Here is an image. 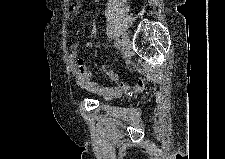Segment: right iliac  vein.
I'll return each mask as SVG.
<instances>
[{"label": "right iliac vein", "mask_w": 225, "mask_h": 159, "mask_svg": "<svg viewBox=\"0 0 225 159\" xmlns=\"http://www.w3.org/2000/svg\"><path fill=\"white\" fill-rule=\"evenodd\" d=\"M121 46L123 49H127L129 46V37H128L127 33L122 34Z\"/></svg>", "instance_id": "right-iliac-vein-1"}]
</instances>
